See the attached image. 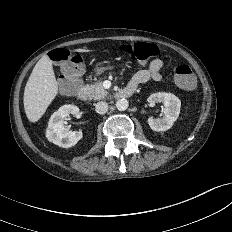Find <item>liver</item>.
<instances>
[{
    "mask_svg": "<svg viewBox=\"0 0 232 232\" xmlns=\"http://www.w3.org/2000/svg\"><path fill=\"white\" fill-rule=\"evenodd\" d=\"M75 52H89L75 49ZM58 93L52 61L45 55L35 65L24 90V109L30 122H37Z\"/></svg>",
    "mask_w": 232,
    "mask_h": 232,
    "instance_id": "obj_1",
    "label": "liver"
}]
</instances>
